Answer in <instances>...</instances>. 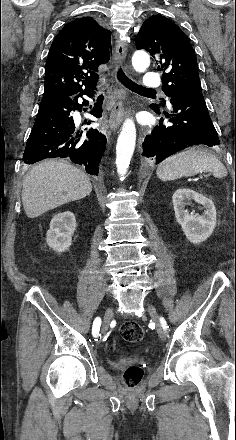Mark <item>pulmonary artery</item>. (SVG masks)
Masks as SVG:
<instances>
[{"mask_svg": "<svg viewBox=\"0 0 236 440\" xmlns=\"http://www.w3.org/2000/svg\"><path fill=\"white\" fill-rule=\"evenodd\" d=\"M161 84V79L156 73H147L143 80L142 86L147 89L158 88Z\"/></svg>", "mask_w": 236, "mask_h": 440, "instance_id": "1", "label": "pulmonary artery"}]
</instances>
